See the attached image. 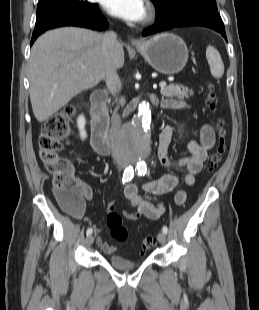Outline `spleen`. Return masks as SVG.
I'll return each instance as SVG.
<instances>
[{
    "label": "spleen",
    "instance_id": "spleen-1",
    "mask_svg": "<svg viewBox=\"0 0 259 310\" xmlns=\"http://www.w3.org/2000/svg\"><path fill=\"white\" fill-rule=\"evenodd\" d=\"M206 58L212 76L215 78H221L224 74V64L218 50L213 46L208 45L206 48Z\"/></svg>",
    "mask_w": 259,
    "mask_h": 310
}]
</instances>
